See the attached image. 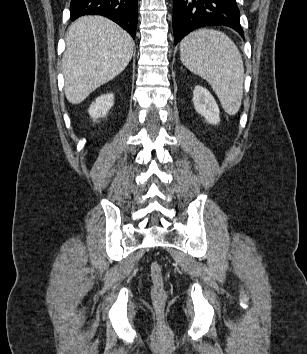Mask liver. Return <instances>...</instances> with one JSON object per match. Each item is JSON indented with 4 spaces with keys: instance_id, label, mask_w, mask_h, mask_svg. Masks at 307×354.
<instances>
[{
    "instance_id": "1",
    "label": "liver",
    "mask_w": 307,
    "mask_h": 354,
    "mask_svg": "<svg viewBox=\"0 0 307 354\" xmlns=\"http://www.w3.org/2000/svg\"><path fill=\"white\" fill-rule=\"evenodd\" d=\"M62 58L65 95L72 104L119 75L130 62L134 41L113 21L101 16H83L66 34Z\"/></svg>"
}]
</instances>
